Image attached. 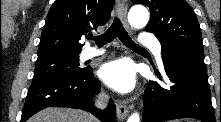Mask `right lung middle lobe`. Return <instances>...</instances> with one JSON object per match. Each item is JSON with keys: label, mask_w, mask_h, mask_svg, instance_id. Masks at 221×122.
Returning a JSON list of instances; mask_svg holds the SVG:
<instances>
[{"label": "right lung middle lobe", "mask_w": 221, "mask_h": 122, "mask_svg": "<svg viewBox=\"0 0 221 122\" xmlns=\"http://www.w3.org/2000/svg\"><path fill=\"white\" fill-rule=\"evenodd\" d=\"M78 55H62L37 59L32 81L59 76L79 75L86 68L79 67Z\"/></svg>", "instance_id": "1"}]
</instances>
